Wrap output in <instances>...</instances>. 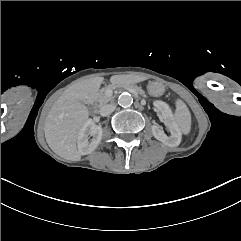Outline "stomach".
Segmentation results:
<instances>
[{
  "mask_svg": "<svg viewBox=\"0 0 241 241\" xmlns=\"http://www.w3.org/2000/svg\"><path fill=\"white\" fill-rule=\"evenodd\" d=\"M147 90L151 96L158 97L164 94L165 86L158 81H151L147 86Z\"/></svg>",
  "mask_w": 241,
  "mask_h": 241,
  "instance_id": "obj_1",
  "label": "stomach"
}]
</instances>
